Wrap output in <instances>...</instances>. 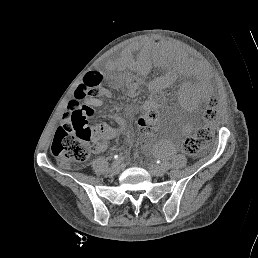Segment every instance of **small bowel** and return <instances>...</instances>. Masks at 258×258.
<instances>
[{
    "instance_id": "small-bowel-1",
    "label": "small bowel",
    "mask_w": 258,
    "mask_h": 258,
    "mask_svg": "<svg viewBox=\"0 0 258 258\" xmlns=\"http://www.w3.org/2000/svg\"><path fill=\"white\" fill-rule=\"evenodd\" d=\"M90 103L94 104V105L97 104L95 99H92L90 101ZM86 111H87L88 115L93 114V111L89 107L86 108ZM98 129H99V136L95 139V140H97V142H96L95 147H94V150L96 152L106 150V148L108 146V144H107L108 140L113 137V132L108 127H106V126L98 127ZM162 148L167 152V154H171L174 150V146L169 144V143L166 144L165 146H163Z\"/></svg>"
}]
</instances>
